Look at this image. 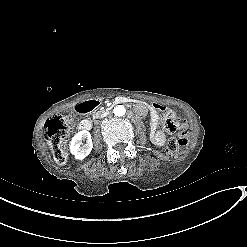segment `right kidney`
I'll use <instances>...</instances> for the list:
<instances>
[{"label":"right kidney","instance_id":"ca27d5eb","mask_svg":"<svg viewBox=\"0 0 247 247\" xmlns=\"http://www.w3.org/2000/svg\"><path fill=\"white\" fill-rule=\"evenodd\" d=\"M84 140H86L85 144H83ZM69 147L71 154H73L76 159L83 160L90 154L93 148L90 132L87 130L79 131L73 136Z\"/></svg>","mask_w":247,"mask_h":247}]
</instances>
